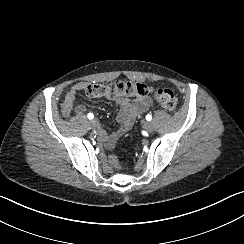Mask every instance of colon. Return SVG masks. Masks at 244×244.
Instances as JSON below:
<instances>
[{"label":"colon","instance_id":"obj_1","mask_svg":"<svg viewBox=\"0 0 244 244\" xmlns=\"http://www.w3.org/2000/svg\"><path fill=\"white\" fill-rule=\"evenodd\" d=\"M148 88L150 94L166 111H174L176 108L177 99L174 93L165 88H151L145 84L138 82H131L128 80H120L111 84L105 83H90L84 89V94L89 98L99 99L107 98L113 99L119 95H127L131 97H142L145 94L143 90ZM71 112L70 105H67L64 110V115L68 116ZM108 161L112 164L113 168L119 170L122 168L123 163L119 160L118 156L112 154L109 156Z\"/></svg>","mask_w":244,"mask_h":244}]
</instances>
